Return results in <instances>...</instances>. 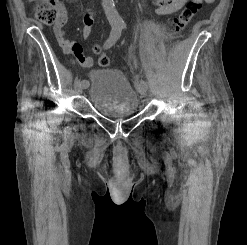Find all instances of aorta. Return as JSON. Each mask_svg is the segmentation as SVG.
<instances>
[{"label": "aorta", "mask_w": 247, "mask_h": 245, "mask_svg": "<svg viewBox=\"0 0 247 245\" xmlns=\"http://www.w3.org/2000/svg\"><path fill=\"white\" fill-rule=\"evenodd\" d=\"M104 1H105V12L110 24L122 25L123 20L115 8L114 0H104Z\"/></svg>", "instance_id": "1"}]
</instances>
